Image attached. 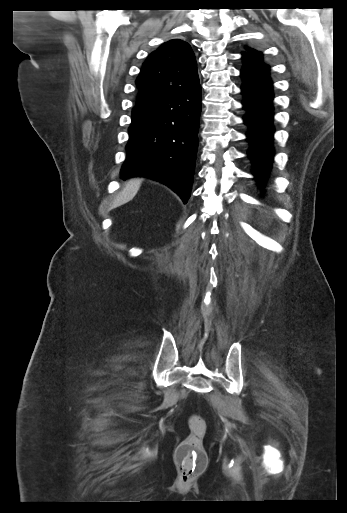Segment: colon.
Wrapping results in <instances>:
<instances>
[{"label":"colon","mask_w":347,"mask_h":513,"mask_svg":"<svg viewBox=\"0 0 347 513\" xmlns=\"http://www.w3.org/2000/svg\"><path fill=\"white\" fill-rule=\"evenodd\" d=\"M188 426L190 433L180 445L177 464L184 475L194 478L206 466V454L203 448L206 424L200 416L192 415L189 417Z\"/></svg>","instance_id":"colon-1"}]
</instances>
